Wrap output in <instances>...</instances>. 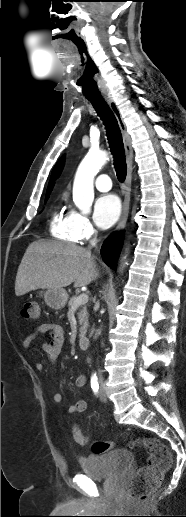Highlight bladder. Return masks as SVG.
<instances>
[{
  "instance_id": "1",
  "label": "bladder",
  "mask_w": 186,
  "mask_h": 517,
  "mask_svg": "<svg viewBox=\"0 0 186 517\" xmlns=\"http://www.w3.org/2000/svg\"><path fill=\"white\" fill-rule=\"evenodd\" d=\"M132 462L130 451L116 449L84 457L80 460V466L83 473L92 479H111L123 474Z\"/></svg>"
}]
</instances>
